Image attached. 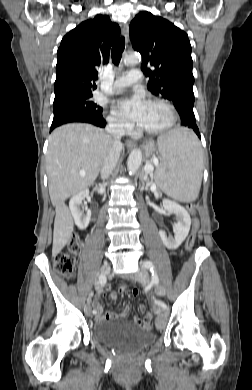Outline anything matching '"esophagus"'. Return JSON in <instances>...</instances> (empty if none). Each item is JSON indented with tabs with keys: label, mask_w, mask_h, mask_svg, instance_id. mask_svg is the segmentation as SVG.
<instances>
[{
	"label": "esophagus",
	"mask_w": 252,
	"mask_h": 390,
	"mask_svg": "<svg viewBox=\"0 0 252 390\" xmlns=\"http://www.w3.org/2000/svg\"><path fill=\"white\" fill-rule=\"evenodd\" d=\"M122 35L124 36L125 41H128V38H129V27H128V24H124L122 26ZM125 144L129 148L135 146V143L132 140H126Z\"/></svg>",
	"instance_id": "esophagus-1"
}]
</instances>
